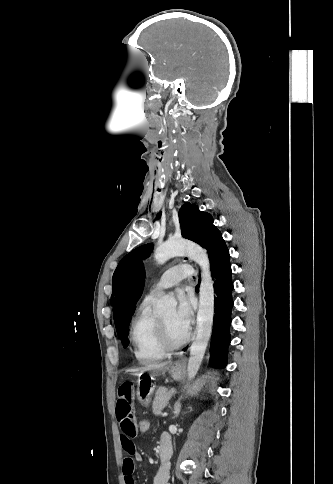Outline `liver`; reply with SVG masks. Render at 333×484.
Returning <instances> with one entry per match:
<instances>
[{"label":"liver","instance_id":"obj_1","mask_svg":"<svg viewBox=\"0 0 333 484\" xmlns=\"http://www.w3.org/2000/svg\"><path fill=\"white\" fill-rule=\"evenodd\" d=\"M172 364V362L170 361H166V362H162V363H151V364H148L146 365L145 367H141V368H136V369H133L131 370L132 372H136V373H144V372H147V371H151V372H154V373H165L169 366Z\"/></svg>","mask_w":333,"mask_h":484}]
</instances>
